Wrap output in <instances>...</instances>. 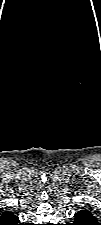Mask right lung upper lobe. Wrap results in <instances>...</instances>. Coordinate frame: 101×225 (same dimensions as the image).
<instances>
[{"instance_id": "right-lung-upper-lobe-1", "label": "right lung upper lobe", "mask_w": 101, "mask_h": 225, "mask_svg": "<svg viewBox=\"0 0 101 225\" xmlns=\"http://www.w3.org/2000/svg\"><path fill=\"white\" fill-rule=\"evenodd\" d=\"M18 218L13 215V213L11 212H4L2 214V220H1V225H9V224H12V223H15L17 222Z\"/></svg>"}]
</instances>
